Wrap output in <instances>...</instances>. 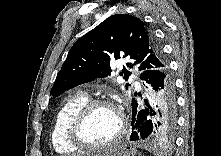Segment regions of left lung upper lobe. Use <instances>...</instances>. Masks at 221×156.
<instances>
[{
	"label": "left lung upper lobe",
	"mask_w": 221,
	"mask_h": 156,
	"mask_svg": "<svg viewBox=\"0 0 221 156\" xmlns=\"http://www.w3.org/2000/svg\"><path fill=\"white\" fill-rule=\"evenodd\" d=\"M120 58L129 60L120 72L126 80L131 75L129 69L134 66L142 73L167 64L159 44L139 18L128 14L112 15L74 43L51 95L57 97L77 85L107 77L111 72L110 64Z\"/></svg>",
	"instance_id": "5c2ea615"
}]
</instances>
